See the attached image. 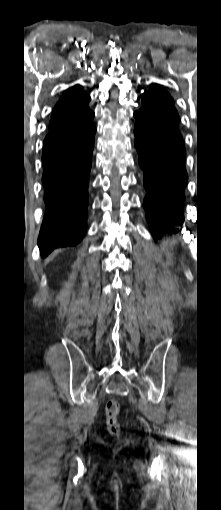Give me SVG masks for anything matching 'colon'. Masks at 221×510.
I'll use <instances>...</instances> for the list:
<instances>
[{"label": "colon", "mask_w": 221, "mask_h": 510, "mask_svg": "<svg viewBox=\"0 0 221 510\" xmlns=\"http://www.w3.org/2000/svg\"><path fill=\"white\" fill-rule=\"evenodd\" d=\"M119 413V402L117 400L108 401L105 407V416L107 428L112 435H118L120 432Z\"/></svg>", "instance_id": "5ec220e1"}]
</instances>
